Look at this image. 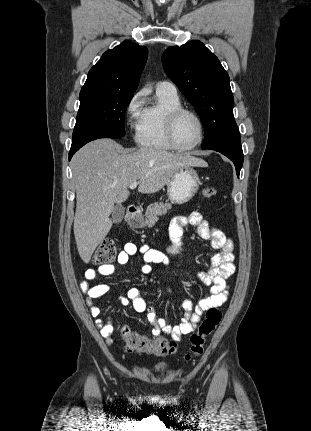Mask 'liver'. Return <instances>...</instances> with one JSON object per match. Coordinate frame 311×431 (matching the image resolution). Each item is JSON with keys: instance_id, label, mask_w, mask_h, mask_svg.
I'll return each mask as SVG.
<instances>
[{"instance_id": "liver-1", "label": "liver", "mask_w": 311, "mask_h": 431, "mask_svg": "<svg viewBox=\"0 0 311 431\" xmlns=\"http://www.w3.org/2000/svg\"><path fill=\"white\" fill-rule=\"evenodd\" d=\"M187 166L207 168L201 158L171 154L158 148L131 152L114 140H95L83 146L72 158L71 170L76 190L74 237L78 253L88 263L97 245L109 233L114 204L130 196V184L140 180V194H156Z\"/></svg>"}]
</instances>
